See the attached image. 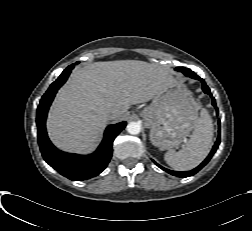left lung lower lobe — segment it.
<instances>
[{
    "mask_svg": "<svg viewBox=\"0 0 252 231\" xmlns=\"http://www.w3.org/2000/svg\"><path fill=\"white\" fill-rule=\"evenodd\" d=\"M181 72H183L188 77L200 80L202 82V89H203V91L206 94H209L211 96V98H212V105L216 108V113L218 115V109L216 107L215 99L212 96V94L210 93V89L206 85L205 81L202 78H200L199 76H197L193 71H191L188 68L182 70ZM218 126H219V129H218V138H217V140H216V142H215V144H214V146H213L210 154L208 155V157L198 167L194 168L191 171L178 172V171H172V170L165 169L164 167L158 165L157 163H155V164L158 167H160L162 170L167 171L169 174L174 175V176H178V177H189V176H192V175L196 174L200 169H202V167H204L209 162V160L212 158L213 154L216 152V150H217V148H218V146L220 144V121H218Z\"/></svg>",
    "mask_w": 252,
    "mask_h": 231,
    "instance_id": "1",
    "label": "left lung lower lobe"
}]
</instances>
